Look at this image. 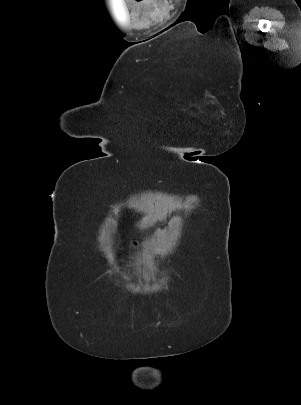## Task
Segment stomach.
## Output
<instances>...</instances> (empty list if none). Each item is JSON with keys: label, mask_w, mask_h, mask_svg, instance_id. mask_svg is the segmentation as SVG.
I'll list each match as a JSON object with an SVG mask.
<instances>
[{"label": "stomach", "mask_w": 301, "mask_h": 405, "mask_svg": "<svg viewBox=\"0 0 301 405\" xmlns=\"http://www.w3.org/2000/svg\"><path fill=\"white\" fill-rule=\"evenodd\" d=\"M151 223H152L151 221L145 220V222L142 224V226L147 227V226L151 225Z\"/></svg>", "instance_id": "0dacf381"}]
</instances>
